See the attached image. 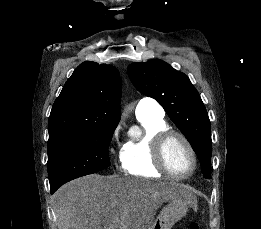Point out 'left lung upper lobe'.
Wrapping results in <instances>:
<instances>
[{
  "label": "left lung upper lobe",
  "mask_w": 261,
  "mask_h": 229,
  "mask_svg": "<svg viewBox=\"0 0 261 229\" xmlns=\"http://www.w3.org/2000/svg\"><path fill=\"white\" fill-rule=\"evenodd\" d=\"M128 76L139 92L162 105L197 154L204 177L210 178V121L189 78L160 59L132 63L128 66Z\"/></svg>",
  "instance_id": "left-lung-upper-lobe-1"
}]
</instances>
